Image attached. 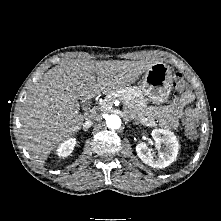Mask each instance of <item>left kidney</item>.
Segmentation results:
<instances>
[{"label":"left kidney","mask_w":221,"mask_h":221,"mask_svg":"<svg viewBox=\"0 0 221 221\" xmlns=\"http://www.w3.org/2000/svg\"><path fill=\"white\" fill-rule=\"evenodd\" d=\"M151 135L157 145L164 144L165 148L156 156L148 145L142 142L136 146L137 155L142 162L152 168L163 169L176 160L179 150L178 140L173 132L165 129H155Z\"/></svg>","instance_id":"1"}]
</instances>
